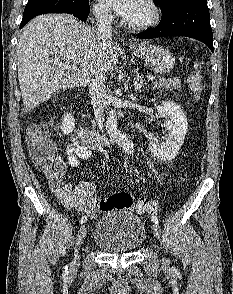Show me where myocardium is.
I'll return each mask as SVG.
<instances>
[{
	"instance_id": "myocardium-1",
	"label": "myocardium",
	"mask_w": 233,
	"mask_h": 294,
	"mask_svg": "<svg viewBox=\"0 0 233 294\" xmlns=\"http://www.w3.org/2000/svg\"><path fill=\"white\" fill-rule=\"evenodd\" d=\"M143 3L148 9V17L141 22H130L126 21L128 28L136 31L146 30L156 25L160 19V10L153 0H143Z\"/></svg>"
}]
</instances>
